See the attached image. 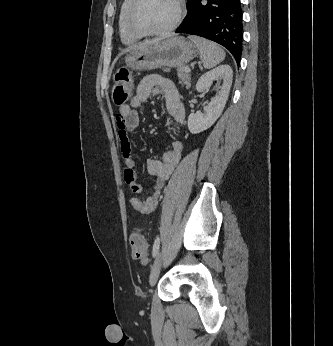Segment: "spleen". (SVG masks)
<instances>
[{
    "label": "spleen",
    "instance_id": "spleen-1",
    "mask_svg": "<svg viewBox=\"0 0 333 346\" xmlns=\"http://www.w3.org/2000/svg\"><path fill=\"white\" fill-rule=\"evenodd\" d=\"M189 39L198 47L204 68L210 69L224 60L225 52L216 43L197 36H189Z\"/></svg>",
    "mask_w": 333,
    "mask_h": 346
}]
</instances>
